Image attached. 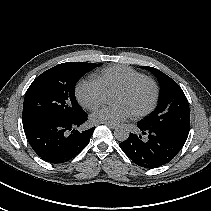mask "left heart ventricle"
Listing matches in <instances>:
<instances>
[{"label": "left heart ventricle", "mask_w": 211, "mask_h": 211, "mask_svg": "<svg viewBox=\"0 0 211 211\" xmlns=\"http://www.w3.org/2000/svg\"><path fill=\"white\" fill-rule=\"evenodd\" d=\"M153 96L152 86L143 82L130 91H116L113 95V102L127 105L132 112L147 107Z\"/></svg>", "instance_id": "1"}]
</instances>
